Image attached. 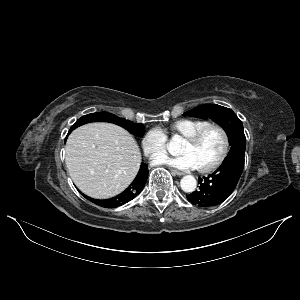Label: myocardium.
<instances>
[{
  "label": "myocardium",
  "instance_id": "myocardium-1",
  "mask_svg": "<svg viewBox=\"0 0 300 300\" xmlns=\"http://www.w3.org/2000/svg\"><path fill=\"white\" fill-rule=\"evenodd\" d=\"M211 128H217L220 130L223 136V149L218 156V158L210 163L209 165L199 167L198 170L202 173L211 172L215 169H217L219 166L222 165V163L225 161L229 154L230 150V136L227 131V129L220 123L217 122H209L208 124L204 125L202 128L197 130L192 135L185 138V141H187L190 144H196L200 141V139L203 137V135Z\"/></svg>",
  "mask_w": 300,
  "mask_h": 300
}]
</instances>
